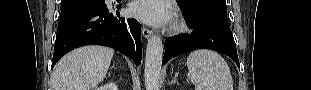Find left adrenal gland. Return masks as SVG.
<instances>
[{"label":"left adrenal gland","instance_id":"left-adrenal-gland-1","mask_svg":"<svg viewBox=\"0 0 311 90\" xmlns=\"http://www.w3.org/2000/svg\"><path fill=\"white\" fill-rule=\"evenodd\" d=\"M177 77H178V73L175 74L173 80L169 84H176V83L178 84Z\"/></svg>","mask_w":311,"mask_h":90}]
</instances>
